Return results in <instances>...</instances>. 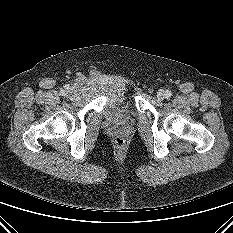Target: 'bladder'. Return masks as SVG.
I'll use <instances>...</instances> for the list:
<instances>
[{
    "mask_svg": "<svg viewBox=\"0 0 233 233\" xmlns=\"http://www.w3.org/2000/svg\"><path fill=\"white\" fill-rule=\"evenodd\" d=\"M103 115L113 123H127L133 116L131 101L123 85H110Z\"/></svg>",
    "mask_w": 233,
    "mask_h": 233,
    "instance_id": "bladder-1",
    "label": "bladder"
}]
</instances>
